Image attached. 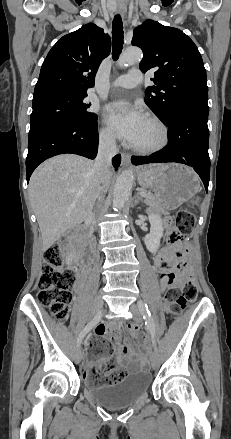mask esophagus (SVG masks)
<instances>
[{"label": "esophagus", "instance_id": "esophagus-1", "mask_svg": "<svg viewBox=\"0 0 231 439\" xmlns=\"http://www.w3.org/2000/svg\"><path fill=\"white\" fill-rule=\"evenodd\" d=\"M117 13H123V8L122 7H118L116 10ZM122 166L126 167L129 165L130 163V158L131 156L129 154L123 153L122 155Z\"/></svg>", "mask_w": 231, "mask_h": 439}]
</instances>
